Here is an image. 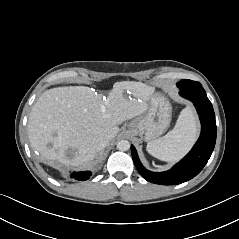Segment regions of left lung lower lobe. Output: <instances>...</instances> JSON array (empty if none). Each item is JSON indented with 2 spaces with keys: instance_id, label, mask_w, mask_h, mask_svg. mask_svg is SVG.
I'll list each match as a JSON object with an SVG mask.
<instances>
[{
  "instance_id": "1",
  "label": "left lung lower lobe",
  "mask_w": 239,
  "mask_h": 239,
  "mask_svg": "<svg viewBox=\"0 0 239 239\" xmlns=\"http://www.w3.org/2000/svg\"><path fill=\"white\" fill-rule=\"evenodd\" d=\"M179 94L193 102L201 121V134L192 150L170 170L150 172L141 164L131 145L132 158L140 175L147 181L161 185H176L195 177L206 165L216 142V121L213 106L202 86L180 88Z\"/></svg>"
}]
</instances>
